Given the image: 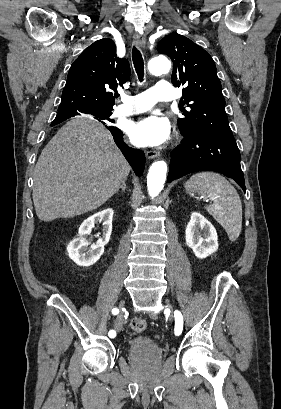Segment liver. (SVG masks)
<instances>
[{"label": "liver", "mask_w": 281, "mask_h": 409, "mask_svg": "<svg viewBox=\"0 0 281 409\" xmlns=\"http://www.w3.org/2000/svg\"><path fill=\"white\" fill-rule=\"evenodd\" d=\"M130 170L104 124L87 116L68 120L43 148L34 168L38 219L76 217L101 207Z\"/></svg>", "instance_id": "liver-1"}]
</instances>
